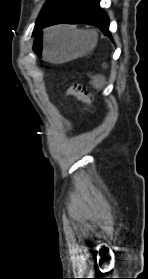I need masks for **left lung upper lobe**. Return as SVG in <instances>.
Segmentation results:
<instances>
[{
	"label": "left lung upper lobe",
	"instance_id": "5c2ea615",
	"mask_svg": "<svg viewBox=\"0 0 148 279\" xmlns=\"http://www.w3.org/2000/svg\"><path fill=\"white\" fill-rule=\"evenodd\" d=\"M65 0H47L45 3L43 9L41 10V13L38 16V19L36 21V26L43 21L45 18H47L55 9H57ZM35 30V29H34Z\"/></svg>",
	"mask_w": 148,
	"mask_h": 279
}]
</instances>
